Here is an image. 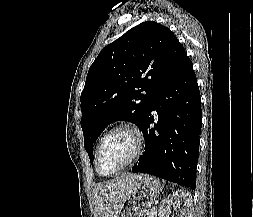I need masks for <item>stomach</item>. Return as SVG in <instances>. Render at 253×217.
Returning a JSON list of instances; mask_svg holds the SVG:
<instances>
[{
    "label": "stomach",
    "instance_id": "0dacf381",
    "mask_svg": "<svg viewBox=\"0 0 253 217\" xmlns=\"http://www.w3.org/2000/svg\"><path fill=\"white\" fill-rule=\"evenodd\" d=\"M161 191L155 178L143 175L133 184V190L118 210L117 217H144Z\"/></svg>",
    "mask_w": 253,
    "mask_h": 217
}]
</instances>
